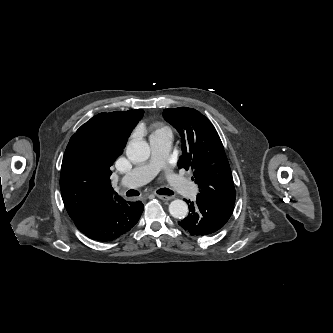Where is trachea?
<instances>
[{
    "label": "trachea",
    "instance_id": "3493384b",
    "mask_svg": "<svg viewBox=\"0 0 333 333\" xmlns=\"http://www.w3.org/2000/svg\"><path fill=\"white\" fill-rule=\"evenodd\" d=\"M157 193L160 195H173L174 192L168 188H161L159 190H157ZM127 196H137L139 195V192L136 190H129L126 193Z\"/></svg>",
    "mask_w": 333,
    "mask_h": 333
}]
</instances>
